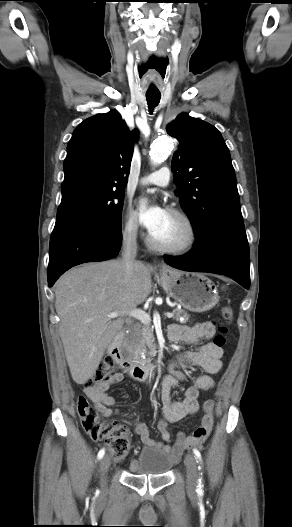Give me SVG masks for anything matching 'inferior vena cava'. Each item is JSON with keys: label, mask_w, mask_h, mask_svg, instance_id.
I'll return each mask as SVG.
<instances>
[{"label": "inferior vena cava", "mask_w": 292, "mask_h": 527, "mask_svg": "<svg viewBox=\"0 0 292 527\" xmlns=\"http://www.w3.org/2000/svg\"><path fill=\"white\" fill-rule=\"evenodd\" d=\"M137 228L131 227L123 234L121 260L125 273L129 276L133 270V264L137 256Z\"/></svg>", "instance_id": "inferior-vena-cava-1"}]
</instances>
